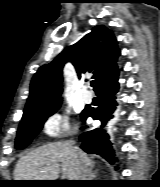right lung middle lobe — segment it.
I'll return each instance as SVG.
<instances>
[{
    "instance_id": "dd1d6c3e",
    "label": "right lung middle lobe",
    "mask_w": 160,
    "mask_h": 187,
    "mask_svg": "<svg viewBox=\"0 0 160 187\" xmlns=\"http://www.w3.org/2000/svg\"><path fill=\"white\" fill-rule=\"evenodd\" d=\"M60 104L61 103H58L44 110L24 113L17 132L15 147L17 149H24L27 147L31 143L32 139L42 129L47 118L58 110Z\"/></svg>"
}]
</instances>
